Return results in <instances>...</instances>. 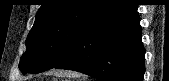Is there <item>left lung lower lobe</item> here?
<instances>
[{"label":"left lung lower lobe","mask_w":169,"mask_h":81,"mask_svg":"<svg viewBox=\"0 0 169 81\" xmlns=\"http://www.w3.org/2000/svg\"><path fill=\"white\" fill-rule=\"evenodd\" d=\"M134 0H115L80 34L70 54L54 68L101 81H142L145 49Z\"/></svg>","instance_id":"obj_1"}]
</instances>
